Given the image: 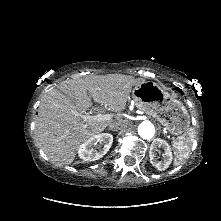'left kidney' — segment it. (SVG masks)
I'll list each match as a JSON object with an SVG mask.
<instances>
[{
    "instance_id": "left-kidney-1",
    "label": "left kidney",
    "mask_w": 221,
    "mask_h": 221,
    "mask_svg": "<svg viewBox=\"0 0 221 221\" xmlns=\"http://www.w3.org/2000/svg\"><path fill=\"white\" fill-rule=\"evenodd\" d=\"M160 148L164 149L163 160L161 161L156 158V152ZM149 157L151 164L158 170L167 169L172 162V152L169 144L160 138L155 139L151 144Z\"/></svg>"
}]
</instances>
